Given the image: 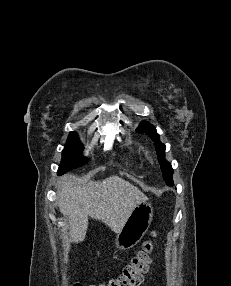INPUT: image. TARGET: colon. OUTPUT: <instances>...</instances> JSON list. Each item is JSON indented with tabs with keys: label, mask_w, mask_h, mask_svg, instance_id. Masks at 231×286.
Returning a JSON list of instances; mask_svg holds the SVG:
<instances>
[{
	"label": "colon",
	"mask_w": 231,
	"mask_h": 286,
	"mask_svg": "<svg viewBox=\"0 0 231 286\" xmlns=\"http://www.w3.org/2000/svg\"><path fill=\"white\" fill-rule=\"evenodd\" d=\"M153 244L146 241L131 261L123 268L121 274L104 284L90 286H138L142 283L144 275L148 272L152 262ZM74 286H82L76 284Z\"/></svg>",
	"instance_id": "colon-1"
}]
</instances>
